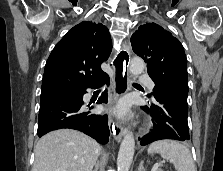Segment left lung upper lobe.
I'll return each instance as SVG.
<instances>
[{
    "instance_id": "5c2ea615",
    "label": "left lung upper lobe",
    "mask_w": 223,
    "mask_h": 171,
    "mask_svg": "<svg viewBox=\"0 0 223 171\" xmlns=\"http://www.w3.org/2000/svg\"><path fill=\"white\" fill-rule=\"evenodd\" d=\"M131 43L133 51L147 63L155 83L153 95L166 89L187 99V59L179 40L160 25L147 23L135 31Z\"/></svg>"
}]
</instances>
